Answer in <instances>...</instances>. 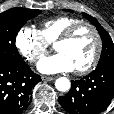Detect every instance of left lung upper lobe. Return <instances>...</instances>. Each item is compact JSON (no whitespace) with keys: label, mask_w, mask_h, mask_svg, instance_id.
<instances>
[{"label":"left lung upper lobe","mask_w":114,"mask_h":114,"mask_svg":"<svg viewBox=\"0 0 114 114\" xmlns=\"http://www.w3.org/2000/svg\"><path fill=\"white\" fill-rule=\"evenodd\" d=\"M82 15L97 28L103 42V49L97 67L114 65V43L110 35L106 32V30L98 23V21L94 17L86 13H82Z\"/></svg>","instance_id":"5c2ea615"}]
</instances>
